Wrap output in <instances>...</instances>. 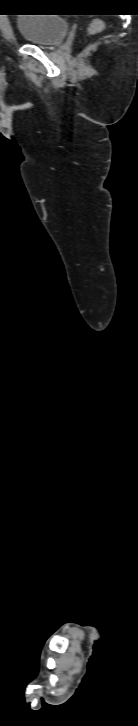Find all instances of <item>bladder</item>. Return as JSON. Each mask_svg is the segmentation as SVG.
Returning <instances> with one entry per match:
<instances>
[{"label": "bladder", "mask_w": 138, "mask_h": 726, "mask_svg": "<svg viewBox=\"0 0 138 726\" xmlns=\"http://www.w3.org/2000/svg\"><path fill=\"white\" fill-rule=\"evenodd\" d=\"M17 20L19 33L28 42L48 46L61 42L67 35L69 24L58 14H24Z\"/></svg>", "instance_id": "31cf9c89"}]
</instances>
